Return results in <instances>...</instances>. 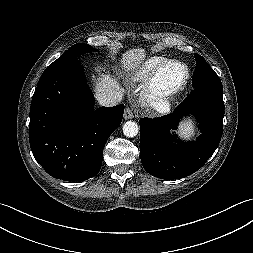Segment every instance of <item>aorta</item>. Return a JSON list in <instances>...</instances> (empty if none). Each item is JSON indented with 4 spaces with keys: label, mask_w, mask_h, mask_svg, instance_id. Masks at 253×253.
<instances>
[{
    "label": "aorta",
    "mask_w": 253,
    "mask_h": 253,
    "mask_svg": "<svg viewBox=\"0 0 253 253\" xmlns=\"http://www.w3.org/2000/svg\"><path fill=\"white\" fill-rule=\"evenodd\" d=\"M139 132V127L136 122L127 121L123 125V133L127 137H135Z\"/></svg>",
    "instance_id": "aorta-1"
}]
</instances>
